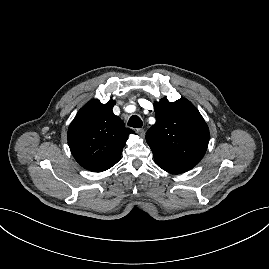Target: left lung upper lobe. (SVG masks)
Returning <instances> with one entry per match:
<instances>
[{
	"mask_svg": "<svg viewBox=\"0 0 269 269\" xmlns=\"http://www.w3.org/2000/svg\"><path fill=\"white\" fill-rule=\"evenodd\" d=\"M156 123L147 131L146 141L159 165L195 166L203 158L209 129L196 107L185 98L154 103Z\"/></svg>",
	"mask_w": 269,
	"mask_h": 269,
	"instance_id": "5c2ea615",
	"label": "left lung upper lobe"
}]
</instances>
